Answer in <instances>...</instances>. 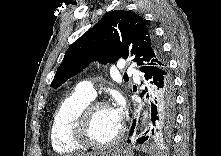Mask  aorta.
<instances>
[{
    "label": "aorta",
    "mask_w": 221,
    "mask_h": 156,
    "mask_svg": "<svg viewBox=\"0 0 221 156\" xmlns=\"http://www.w3.org/2000/svg\"><path fill=\"white\" fill-rule=\"evenodd\" d=\"M147 117H148V113H145L144 114V119L147 118Z\"/></svg>",
    "instance_id": "aorta-1"
}]
</instances>
